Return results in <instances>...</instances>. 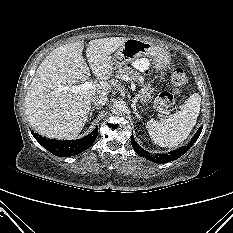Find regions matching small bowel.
Returning a JSON list of instances; mask_svg holds the SVG:
<instances>
[{"label":"small bowel","instance_id":"c3829d8e","mask_svg":"<svg viewBox=\"0 0 233 233\" xmlns=\"http://www.w3.org/2000/svg\"><path fill=\"white\" fill-rule=\"evenodd\" d=\"M133 66L141 71V72H148L149 71V62L147 59L145 58H139V59H136L134 62H133Z\"/></svg>","mask_w":233,"mask_h":233}]
</instances>
